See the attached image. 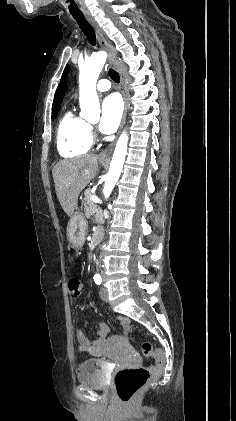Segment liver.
<instances>
[{"label": "liver", "mask_w": 236, "mask_h": 421, "mask_svg": "<svg viewBox=\"0 0 236 421\" xmlns=\"http://www.w3.org/2000/svg\"><path fill=\"white\" fill-rule=\"evenodd\" d=\"M97 158L95 154L64 158L52 170L58 200L68 217L73 215L81 190L92 180L97 170Z\"/></svg>", "instance_id": "1"}]
</instances>
